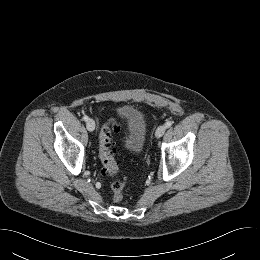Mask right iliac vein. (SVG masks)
<instances>
[{
	"instance_id": "63e3f726",
	"label": "right iliac vein",
	"mask_w": 260,
	"mask_h": 260,
	"mask_svg": "<svg viewBox=\"0 0 260 260\" xmlns=\"http://www.w3.org/2000/svg\"><path fill=\"white\" fill-rule=\"evenodd\" d=\"M86 127L88 129V131L92 132L95 130V122L93 119H88V121L86 122Z\"/></svg>"
}]
</instances>
